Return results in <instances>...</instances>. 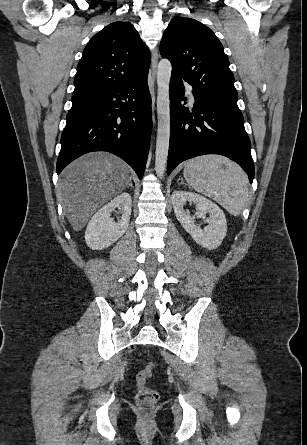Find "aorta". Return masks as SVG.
<instances>
[{
	"label": "aorta",
	"mask_w": 307,
	"mask_h": 445,
	"mask_svg": "<svg viewBox=\"0 0 307 445\" xmlns=\"http://www.w3.org/2000/svg\"><path fill=\"white\" fill-rule=\"evenodd\" d=\"M172 64L168 58H162L157 66V116L158 130L155 150V170L162 178L167 162L170 138V98L169 82Z\"/></svg>",
	"instance_id": "1"
}]
</instances>
